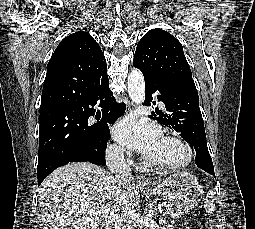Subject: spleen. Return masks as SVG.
Returning a JSON list of instances; mask_svg holds the SVG:
<instances>
[{
  "label": "spleen",
  "mask_w": 255,
  "mask_h": 229,
  "mask_svg": "<svg viewBox=\"0 0 255 229\" xmlns=\"http://www.w3.org/2000/svg\"><path fill=\"white\" fill-rule=\"evenodd\" d=\"M215 198L212 190H209L205 199V210L208 214H212L215 210Z\"/></svg>",
  "instance_id": "1"
}]
</instances>
